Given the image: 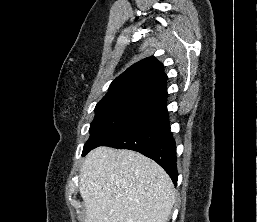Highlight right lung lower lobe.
<instances>
[{"mask_svg":"<svg viewBox=\"0 0 257 222\" xmlns=\"http://www.w3.org/2000/svg\"><path fill=\"white\" fill-rule=\"evenodd\" d=\"M103 146L140 152L156 161L168 173L173 183L177 184L176 145L170 131L166 107Z\"/></svg>","mask_w":257,"mask_h":222,"instance_id":"right-lung-lower-lobe-1","label":"right lung lower lobe"}]
</instances>
